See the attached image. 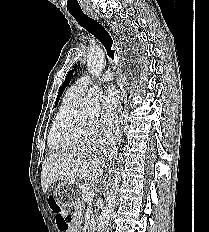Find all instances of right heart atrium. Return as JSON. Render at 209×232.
Here are the masks:
<instances>
[{"label": "right heart atrium", "instance_id": "d8ad5b80", "mask_svg": "<svg viewBox=\"0 0 209 232\" xmlns=\"http://www.w3.org/2000/svg\"><path fill=\"white\" fill-rule=\"evenodd\" d=\"M109 121H110V118L102 117V118L98 121V123H99V125H101V126H105V125H108Z\"/></svg>", "mask_w": 209, "mask_h": 232}]
</instances>
